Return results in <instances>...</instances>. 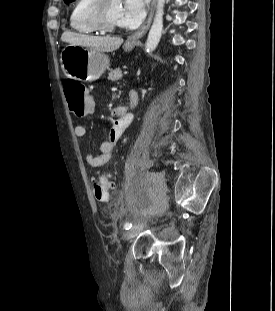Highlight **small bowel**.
I'll return each mask as SVG.
<instances>
[{
	"mask_svg": "<svg viewBox=\"0 0 275 311\" xmlns=\"http://www.w3.org/2000/svg\"><path fill=\"white\" fill-rule=\"evenodd\" d=\"M130 96L137 101V96L134 92L131 93ZM112 115V118L108 121L110 126L108 139L101 144L99 154L93 155L87 153L85 156L86 163L92 168L101 167L110 161L114 154L117 142L133 119V116L128 111L127 107H125V110H113ZM74 134L79 142H84L86 136L85 126L82 124L76 125L74 128Z\"/></svg>",
	"mask_w": 275,
	"mask_h": 311,
	"instance_id": "1",
	"label": "small bowel"
}]
</instances>
